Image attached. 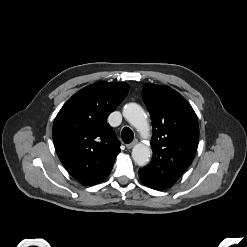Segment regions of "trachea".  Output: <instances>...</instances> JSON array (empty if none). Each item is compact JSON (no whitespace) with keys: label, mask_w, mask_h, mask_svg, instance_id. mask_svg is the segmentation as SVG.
Instances as JSON below:
<instances>
[{"label":"trachea","mask_w":247,"mask_h":247,"mask_svg":"<svg viewBox=\"0 0 247 247\" xmlns=\"http://www.w3.org/2000/svg\"><path fill=\"white\" fill-rule=\"evenodd\" d=\"M133 138H134L133 131L128 127L123 128V130H122V140H123V142L128 144V143L132 142Z\"/></svg>","instance_id":"1"}]
</instances>
